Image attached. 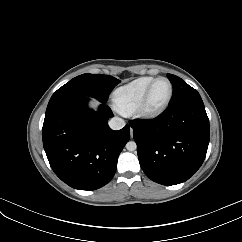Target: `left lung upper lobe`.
<instances>
[{"mask_svg":"<svg viewBox=\"0 0 242 242\" xmlns=\"http://www.w3.org/2000/svg\"><path fill=\"white\" fill-rule=\"evenodd\" d=\"M167 77L173 86V96L169 105L176 104L187 99L200 98L199 93L178 76L168 74Z\"/></svg>","mask_w":242,"mask_h":242,"instance_id":"5c2ea615","label":"left lung upper lobe"}]
</instances>
